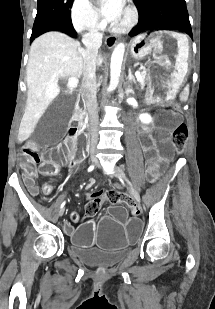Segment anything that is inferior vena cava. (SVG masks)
Here are the masks:
<instances>
[{
    "label": "inferior vena cava",
    "instance_id": "602c4592",
    "mask_svg": "<svg viewBox=\"0 0 215 309\" xmlns=\"http://www.w3.org/2000/svg\"><path fill=\"white\" fill-rule=\"evenodd\" d=\"M103 34L95 28L94 24L89 26V32L83 34L82 42L86 48L82 52L83 56V72H82V98L86 104L91 144H97L98 142V104H97V84H96V60L98 48L102 44Z\"/></svg>",
    "mask_w": 215,
    "mask_h": 309
}]
</instances>
